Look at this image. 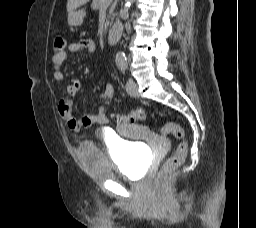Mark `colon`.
<instances>
[{"label":"colon","mask_w":256,"mask_h":228,"mask_svg":"<svg viewBox=\"0 0 256 228\" xmlns=\"http://www.w3.org/2000/svg\"><path fill=\"white\" fill-rule=\"evenodd\" d=\"M65 40L61 36H56L53 39L54 53L61 52L65 48ZM145 119V113L143 110L137 109L125 116L118 118L119 122H140ZM164 134H172L179 140V144L176 151L171 155L163 164L158 174L155 177L154 184L157 188L161 187L165 182L167 176L177 169L184 161L188 152V142L184 129L177 123L167 122L162 127Z\"/></svg>","instance_id":"1"}]
</instances>
